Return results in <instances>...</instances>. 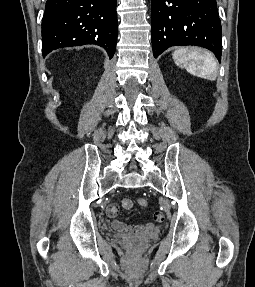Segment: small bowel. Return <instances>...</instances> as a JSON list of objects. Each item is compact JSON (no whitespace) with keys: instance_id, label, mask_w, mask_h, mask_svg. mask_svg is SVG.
Here are the masks:
<instances>
[{"instance_id":"obj_1","label":"small bowel","mask_w":255,"mask_h":287,"mask_svg":"<svg viewBox=\"0 0 255 287\" xmlns=\"http://www.w3.org/2000/svg\"><path fill=\"white\" fill-rule=\"evenodd\" d=\"M121 205L124 209L129 210L133 207L132 200L125 198L121 201ZM119 206L116 203H111L106 207V213L109 217L113 218L112 227L119 232L138 234L143 232H152L155 229V224L164 220V215L160 211L152 213V221L144 225H126L122 221L117 219Z\"/></svg>"}]
</instances>
